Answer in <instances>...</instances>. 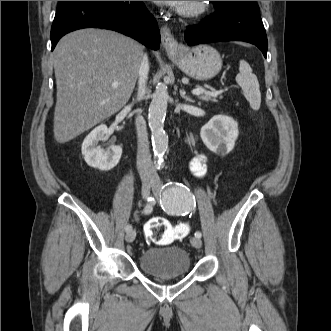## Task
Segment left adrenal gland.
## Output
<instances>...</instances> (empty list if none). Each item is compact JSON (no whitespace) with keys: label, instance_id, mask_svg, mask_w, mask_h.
Returning <instances> with one entry per match:
<instances>
[{"label":"left adrenal gland","instance_id":"left-adrenal-gland-1","mask_svg":"<svg viewBox=\"0 0 331 331\" xmlns=\"http://www.w3.org/2000/svg\"><path fill=\"white\" fill-rule=\"evenodd\" d=\"M180 95L183 99H185L186 101L189 102H194V100H192L189 96L186 95V92L182 89L180 90Z\"/></svg>","mask_w":331,"mask_h":331}]
</instances>
